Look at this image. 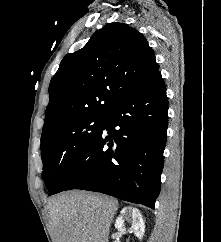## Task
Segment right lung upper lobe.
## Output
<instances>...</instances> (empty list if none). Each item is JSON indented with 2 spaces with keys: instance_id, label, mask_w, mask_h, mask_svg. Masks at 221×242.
Instances as JSON below:
<instances>
[{
  "instance_id": "cb5924a9",
  "label": "right lung upper lobe",
  "mask_w": 221,
  "mask_h": 242,
  "mask_svg": "<svg viewBox=\"0 0 221 242\" xmlns=\"http://www.w3.org/2000/svg\"><path fill=\"white\" fill-rule=\"evenodd\" d=\"M159 71L147 40L125 23H108L66 55L49 86L42 135L84 116H100Z\"/></svg>"
}]
</instances>
